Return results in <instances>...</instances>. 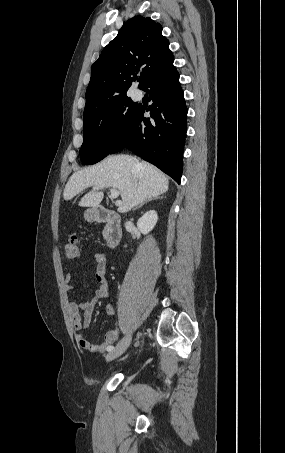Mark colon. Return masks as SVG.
Returning a JSON list of instances; mask_svg holds the SVG:
<instances>
[{
  "label": "colon",
  "instance_id": "obj_1",
  "mask_svg": "<svg viewBox=\"0 0 285 453\" xmlns=\"http://www.w3.org/2000/svg\"><path fill=\"white\" fill-rule=\"evenodd\" d=\"M65 254L69 259L77 258L82 252V244L76 235H72L64 246Z\"/></svg>",
  "mask_w": 285,
  "mask_h": 453
}]
</instances>
